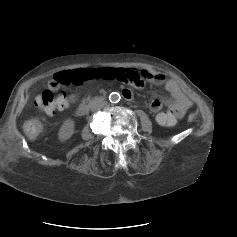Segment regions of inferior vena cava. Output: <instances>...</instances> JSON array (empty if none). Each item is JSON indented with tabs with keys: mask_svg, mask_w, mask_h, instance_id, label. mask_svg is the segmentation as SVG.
<instances>
[{
	"mask_svg": "<svg viewBox=\"0 0 237 237\" xmlns=\"http://www.w3.org/2000/svg\"><path fill=\"white\" fill-rule=\"evenodd\" d=\"M106 105H107V102H106V101H104L103 99L98 98V99L93 100V101L90 103V109H91L92 111H97V110L102 109V108H103L104 106H106Z\"/></svg>",
	"mask_w": 237,
	"mask_h": 237,
	"instance_id": "1",
	"label": "inferior vena cava"
}]
</instances>
